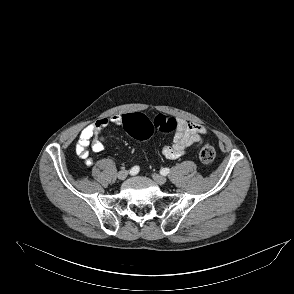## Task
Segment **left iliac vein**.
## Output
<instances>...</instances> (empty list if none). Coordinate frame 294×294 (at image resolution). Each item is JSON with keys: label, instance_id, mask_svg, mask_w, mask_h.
<instances>
[{"label": "left iliac vein", "instance_id": "4c4485c4", "mask_svg": "<svg viewBox=\"0 0 294 294\" xmlns=\"http://www.w3.org/2000/svg\"><path fill=\"white\" fill-rule=\"evenodd\" d=\"M152 178L159 184V185H163L166 183L167 179L159 174H153Z\"/></svg>", "mask_w": 294, "mask_h": 294}]
</instances>
